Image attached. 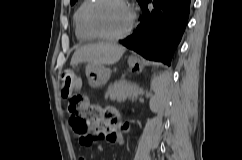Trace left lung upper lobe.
Listing matches in <instances>:
<instances>
[{
  "instance_id": "obj_1",
  "label": "left lung upper lobe",
  "mask_w": 242,
  "mask_h": 160,
  "mask_svg": "<svg viewBox=\"0 0 242 160\" xmlns=\"http://www.w3.org/2000/svg\"><path fill=\"white\" fill-rule=\"evenodd\" d=\"M77 0H71V5H73ZM138 3L141 5L144 0H137Z\"/></svg>"
}]
</instances>
